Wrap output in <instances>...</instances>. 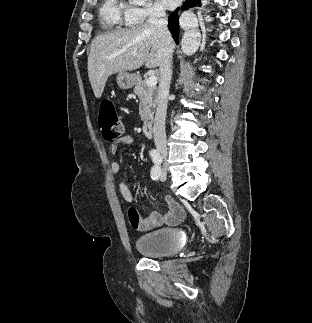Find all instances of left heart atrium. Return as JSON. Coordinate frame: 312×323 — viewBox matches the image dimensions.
<instances>
[{
	"label": "left heart atrium",
	"mask_w": 312,
	"mask_h": 323,
	"mask_svg": "<svg viewBox=\"0 0 312 323\" xmlns=\"http://www.w3.org/2000/svg\"><path fill=\"white\" fill-rule=\"evenodd\" d=\"M163 8H179L184 0H160Z\"/></svg>",
	"instance_id": "1"
}]
</instances>
